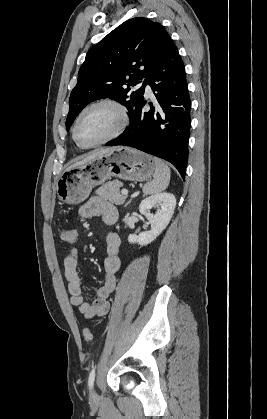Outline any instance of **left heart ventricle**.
Here are the masks:
<instances>
[{"label": "left heart ventricle", "mask_w": 267, "mask_h": 419, "mask_svg": "<svg viewBox=\"0 0 267 419\" xmlns=\"http://www.w3.org/2000/svg\"><path fill=\"white\" fill-rule=\"evenodd\" d=\"M119 122L115 109L98 106L88 110L79 122L77 136L82 144H93L111 133Z\"/></svg>", "instance_id": "b2bd125f"}]
</instances>
